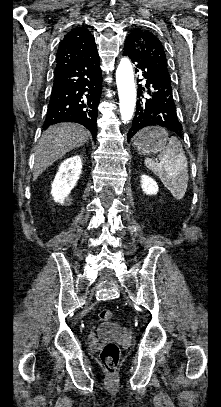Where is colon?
<instances>
[{"instance_id":"obj_1","label":"colon","mask_w":221,"mask_h":407,"mask_svg":"<svg viewBox=\"0 0 221 407\" xmlns=\"http://www.w3.org/2000/svg\"><path fill=\"white\" fill-rule=\"evenodd\" d=\"M111 316V311L106 308L100 309L97 313L98 320L102 322L110 320ZM100 359L105 371L109 375H114L117 371L120 359V350L118 345L114 342L106 343L101 350Z\"/></svg>"}]
</instances>
